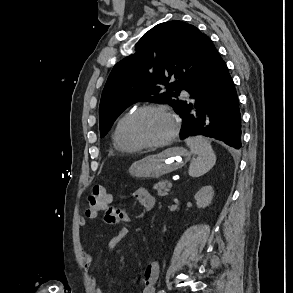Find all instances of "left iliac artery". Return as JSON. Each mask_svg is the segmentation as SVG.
Here are the masks:
<instances>
[{
    "label": "left iliac artery",
    "mask_w": 293,
    "mask_h": 293,
    "mask_svg": "<svg viewBox=\"0 0 293 293\" xmlns=\"http://www.w3.org/2000/svg\"><path fill=\"white\" fill-rule=\"evenodd\" d=\"M159 293H165V291L164 290H161V291H159Z\"/></svg>",
    "instance_id": "obj_1"
}]
</instances>
